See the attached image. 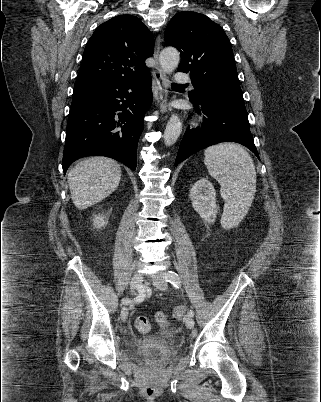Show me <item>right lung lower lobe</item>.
Here are the masks:
<instances>
[{
  "label": "right lung lower lobe",
  "instance_id": "98d812e1",
  "mask_svg": "<svg viewBox=\"0 0 321 402\" xmlns=\"http://www.w3.org/2000/svg\"><path fill=\"white\" fill-rule=\"evenodd\" d=\"M151 80L149 73L133 80L74 88L62 161L64 173L84 156H107L136 169L143 119L152 102Z\"/></svg>",
  "mask_w": 321,
  "mask_h": 402
}]
</instances>
